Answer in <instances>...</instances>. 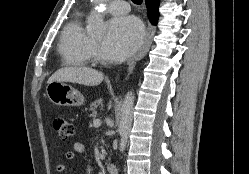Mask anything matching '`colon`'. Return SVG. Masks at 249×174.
<instances>
[{
    "label": "colon",
    "mask_w": 249,
    "mask_h": 174,
    "mask_svg": "<svg viewBox=\"0 0 249 174\" xmlns=\"http://www.w3.org/2000/svg\"><path fill=\"white\" fill-rule=\"evenodd\" d=\"M53 127L57 132L59 139L63 142L68 141L74 134L72 123L62 116H56L53 119Z\"/></svg>",
    "instance_id": "1"
}]
</instances>
